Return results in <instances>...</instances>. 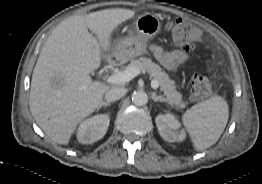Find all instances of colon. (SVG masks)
I'll use <instances>...</instances> for the list:
<instances>
[{"mask_svg":"<svg viewBox=\"0 0 262 184\" xmlns=\"http://www.w3.org/2000/svg\"><path fill=\"white\" fill-rule=\"evenodd\" d=\"M175 44L187 50L195 48L201 41L202 32L194 24L183 19L171 20L167 24ZM211 83L209 79L201 74L192 77L190 83V97L193 102L201 101L211 94Z\"/></svg>","mask_w":262,"mask_h":184,"instance_id":"5ec220e1","label":"colon"}]
</instances>
